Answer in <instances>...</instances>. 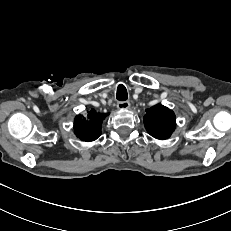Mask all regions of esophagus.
Returning a JSON list of instances; mask_svg holds the SVG:
<instances>
[{"label":"esophagus","mask_w":231,"mask_h":231,"mask_svg":"<svg viewBox=\"0 0 231 231\" xmlns=\"http://www.w3.org/2000/svg\"><path fill=\"white\" fill-rule=\"evenodd\" d=\"M117 108L120 110H126L130 108V102L129 101H120L117 103Z\"/></svg>","instance_id":"1"}]
</instances>
